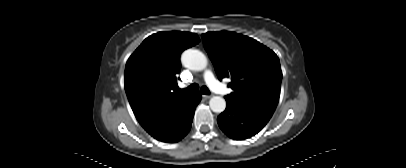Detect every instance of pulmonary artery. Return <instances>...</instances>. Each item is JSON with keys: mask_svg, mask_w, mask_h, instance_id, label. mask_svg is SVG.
Masks as SVG:
<instances>
[{"mask_svg": "<svg viewBox=\"0 0 406 168\" xmlns=\"http://www.w3.org/2000/svg\"><path fill=\"white\" fill-rule=\"evenodd\" d=\"M203 78L209 88H211L214 92L221 95H228L230 93V90L227 87H225L215 79L213 73L210 70H206L204 72Z\"/></svg>", "mask_w": 406, "mask_h": 168, "instance_id": "pulmonary-artery-1", "label": "pulmonary artery"}]
</instances>
